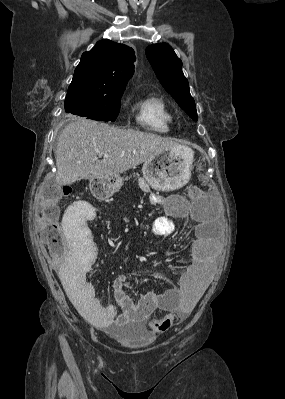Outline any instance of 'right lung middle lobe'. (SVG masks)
<instances>
[{
  "label": "right lung middle lobe",
  "mask_w": 285,
  "mask_h": 399,
  "mask_svg": "<svg viewBox=\"0 0 285 399\" xmlns=\"http://www.w3.org/2000/svg\"><path fill=\"white\" fill-rule=\"evenodd\" d=\"M124 91L110 96L95 94L66 95L65 111L98 121H115Z\"/></svg>",
  "instance_id": "right-lung-middle-lobe-1"
}]
</instances>
